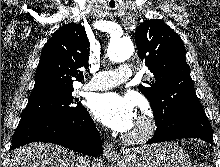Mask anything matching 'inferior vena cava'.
Returning a JSON list of instances; mask_svg holds the SVG:
<instances>
[{
	"label": "inferior vena cava",
	"mask_w": 220,
	"mask_h": 167,
	"mask_svg": "<svg viewBox=\"0 0 220 167\" xmlns=\"http://www.w3.org/2000/svg\"><path fill=\"white\" fill-rule=\"evenodd\" d=\"M76 167H93V164L84 157H78Z\"/></svg>",
	"instance_id": "inferior-vena-cava-1"
}]
</instances>
